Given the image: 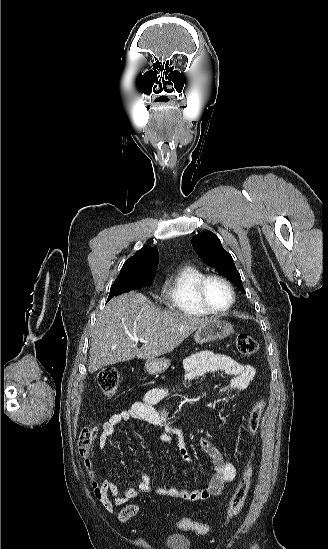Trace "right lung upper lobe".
I'll return each instance as SVG.
<instances>
[{"label": "right lung upper lobe", "mask_w": 328, "mask_h": 549, "mask_svg": "<svg viewBox=\"0 0 328 549\" xmlns=\"http://www.w3.org/2000/svg\"><path fill=\"white\" fill-rule=\"evenodd\" d=\"M158 264L157 248L144 246L130 257L121 268V271L129 270L144 264Z\"/></svg>", "instance_id": "cb5924a9"}]
</instances>
